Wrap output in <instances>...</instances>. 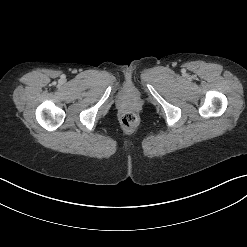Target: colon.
Masks as SVG:
<instances>
[{
  "mask_svg": "<svg viewBox=\"0 0 247 247\" xmlns=\"http://www.w3.org/2000/svg\"><path fill=\"white\" fill-rule=\"evenodd\" d=\"M121 121L126 128H132L137 124L138 117L134 112L129 111L122 116Z\"/></svg>",
  "mask_w": 247,
  "mask_h": 247,
  "instance_id": "1",
  "label": "colon"
}]
</instances>
